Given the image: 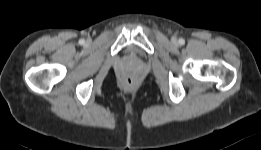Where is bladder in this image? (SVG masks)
Masks as SVG:
<instances>
[{
	"mask_svg": "<svg viewBox=\"0 0 261 150\" xmlns=\"http://www.w3.org/2000/svg\"><path fill=\"white\" fill-rule=\"evenodd\" d=\"M130 51H131V52H134V49L132 48V49H130Z\"/></svg>",
	"mask_w": 261,
	"mask_h": 150,
	"instance_id": "31cf9c89",
	"label": "bladder"
}]
</instances>
